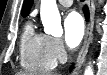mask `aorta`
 <instances>
[{
    "mask_svg": "<svg viewBox=\"0 0 107 75\" xmlns=\"http://www.w3.org/2000/svg\"><path fill=\"white\" fill-rule=\"evenodd\" d=\"M41 21L44 31L53 36H61L63 29L61 26V17L55 0H41ZM84 75H93V69L88 66Z\"/></svg>",
    "mask_w": 107,
    "mask_h": 75,
    "instance_id": "aorta-1",
    "label": "aorta"
}]
</instances>
